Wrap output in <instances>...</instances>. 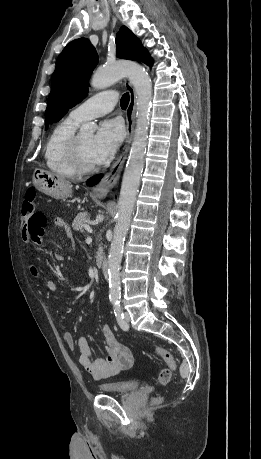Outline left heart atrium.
<instances>
[{
	"label": "left heart atrium",
	"instance_id": "obj_1",
	"mask_svg": "<svg viewBox=\"0 0 261 459\" xmlns=\"http://www.w3.org/2000/svg\"><path fill=\"white\" fill-rule=\"evenodd\" d=\"M124 139V128L117 119L104 120L93 139L92 158L95 164L109 162Z\"/></svg>",
	"mask_w": 261,
	"mask_h": 459
}]
</instances>
